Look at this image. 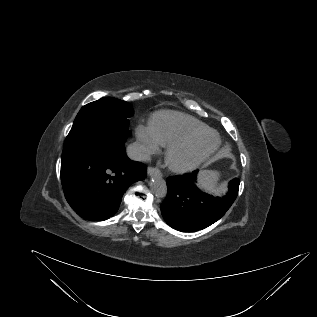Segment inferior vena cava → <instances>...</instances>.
I'll use <instances>...</instances> for the list:
<instances>
[{
    "label": "inferior vena cava",
    "instance_id": "obj_1",
    "mask_svg": "<svg viewBox=\"0 0 317 317\" xmlns=\"http://www.w3.org/2000/svg\"><path fill=\"white\" fill-rule=\"evenodd\" d=\"M127 155L136 161H149L150 153L147 148L139 142H134L127 147Z\"/></svg>",
    "mask_w": 317,
    "mask_h": 317
}]
</instances>
